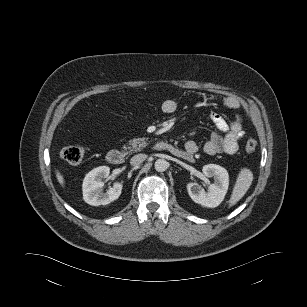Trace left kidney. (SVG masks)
Returning a JSON list of instances; mask_svg holds the SVG:
<instances>
[{"instance_id":"obj_1","label":"left kidney","mask_w":307,"mask_h":307,"mask_svg":"<svg viewBox=\"0 0 307 307\" xmlns=\"http://www.w3.org/2000/svg\"><path fill=\"white\" fill-rule=\"evenodd\" d=\"M203 174L206 177H214V183L208 187V193L205 192L196 183H188L187 191L190 198L202 206L215 208L221 204L227 193L229 186V175L225 168L216 164H207L203 166Z\"/></svg>"}]
</instances>
